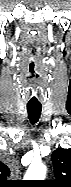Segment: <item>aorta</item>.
Returning a JSON list of instances; mask_svg holds the SVG:
<instances>
[{
  "label": "aorta",
  "mask_w": 71,
  "mask_h": 187,
  "mask_svg": "<svg viewBox=\"0 0 71 187\" xmlns=\"http://www.w3.org/2000/svg\"><path fill=\"white\" fill-rule=\"evenodd\" d=\"M47 168L42 163H32L26 174L25 177L27 180H44L46 177Z\"/></svg>",
  "instance_id": "aorta-1"
}]
</instances>
